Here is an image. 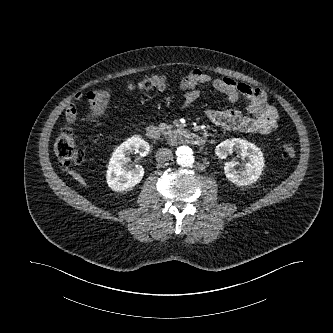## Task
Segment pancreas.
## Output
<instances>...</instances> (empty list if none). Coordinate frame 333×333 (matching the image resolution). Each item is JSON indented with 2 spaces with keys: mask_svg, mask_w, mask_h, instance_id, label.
<instances>
[{
  "mask_svg": "<svg viewBox=\"0 0 333 333\" xmlns=\"http://www.w3.org/2000/svg\"><path fill=\"white\" fill-rule=\"evenodd\" d=\"M172 126L165 124V123H161L159 125V129L160 131L165 134V135H171L172 134V130H171Z\"/></svg>",
  "mask_w": 333,
  "mask_h": 333,
  "instance_id": "cf45deb5",
  "label": "pancreas"
}]
</instances>
